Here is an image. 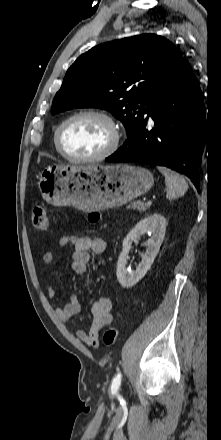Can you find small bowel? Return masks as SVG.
Instances as JSON below:
<instances>
[{
    "label": "small bowel",
    "mask_w": 221,
    "mask_h": 440,
    "mask_svg": "<svg viewBox=\"0 0 221 440\" xmlns=\"http://www.w3.org/2000/svg\"><path fill=\"white\" fill-rule=\"evenodd\" d=\"M67 245L73 246L72 269L78 275H84L87 272V266L90 261V252L101 254L106 249V242L101 238H90L87 236L68 235L62 237L58 242V249ZM54 251H48L43 255V262L47 265L54 263ZM47 295L50 299L57 296L56 289L47 286ZM81 312V305L77 295L70 297V302L55 309L56 316L64 322L69 321L73 316ZM91 325L88 331L79 330L77 337L85 344L93 347L99 345L100 331L111 325L113 321L112 303L106 296L98 297L90 307Z\"/></svg>",
    "instance_id": "obj_1"
}]
</instances>
